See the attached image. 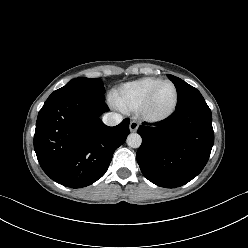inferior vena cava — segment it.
<instances>
[{
  "label": "inferior vena cava",
  "instance_id": "1",
  "mask_svg": "<svg viewBox=\"0 0 248 248\" xmlns=\"http://www.w3.org/2000/svg\"><path fill=\"white\" fill-rule=\"evenodd\" d=\"M102 120L107 126H116L123 120V117L118 113L110 112L106 113Z\"/></svg>",
  "mask_w": 248,
  "mask_h": 248
}]
</instances>
